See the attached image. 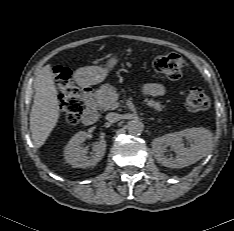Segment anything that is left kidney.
<instances>
[{
  "mask_svg": "<svg viewBox=\"0 0 234 231\" xmlns=\"http://www.w3.org/2000/svg\"><path fill=\"white\" fill-rule=\"evenodd\" d=\"M183 138L191 139L190 147H184ZM170 146L176 158H167L164 153ZM155 159L169 168H183L194 164L213 149L212 133L205 128H188L179 132L163 135L152 142Z\"/></svg>",
  "mask_w": 234,
  "mask_h": 231,
  "instance_id": "5707ae66",
  "label": "left kidney"
}]
</instances>
